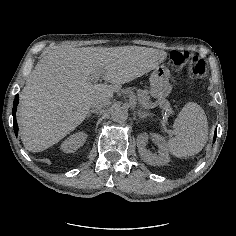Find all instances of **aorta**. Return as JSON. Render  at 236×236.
I'll return each mask as SVG.
<instances>
[{
  "instance_id": "obj_1",
  "label": "aorta",
  "mask_w": 236,
  "mask_h": 236,
  "mask_svg": "<svg viewBox=\"0 0 236 236\" xmlns=\"http://www.w3.org/2000/svg\"><path fill=\"white\" fill-rule=\"evenodd\" d=\"M111 117L115 122H124L128 118V110L123 106L116 105L112 108Z\"/></svg>"
}]
</instances>
